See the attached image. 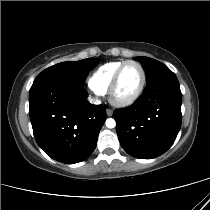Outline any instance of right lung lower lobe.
<instances>
[{
    "instance_id": "obj_1",
    "label": "right lung lower lobe",
    "mask_w": 210,
    "mask_h": 210,
    "mask_svg": "<svg viewBox=\"0 0 210 210\" xmlns=\"http://www.w3.org/2000/svg\"><path fill=\"white\" fill-rule=\"evenodd\" d=\"M83 86L66 81L33 83L29 114L40 148L62 163H78L94 151L99 131L106 120L102 105L87 100Z\"/></svg>"
}]
</instances>
